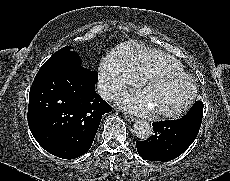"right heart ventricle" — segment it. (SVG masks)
<instances>
[{
  "mask_svg": "<svg viewBox=\"0 0 230 181\" xmlns=\"http://www.w3.org/2000/svg\"><path fill=\"white\" fill-rule=\"evenodd\" d=\"M107 58L112 65L128 69L135 77L141 79L159 70L184 72L182 65L168 55L136 42L118 45L109 52Z\"/></svg>",
  "mask_w": 230,
  "mask_h": 181,
  "instance_id": "e07e8e85",
  "label": "right heart ventricle"
}]
</instances>
